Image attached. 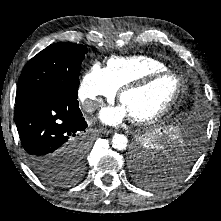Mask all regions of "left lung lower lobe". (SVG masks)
<instances>
[{
    "label": "left lung lower lobe",
    "instance_id": "1",
    "mask_svg": "<svg viewBox=\"0 0 221 221\" xmlns=\"http://www.w3.org/2000/svg\"><path fill=\"white\" fill-rule=\"evenodd\" d=\"M203 128V117H197L188 122L180 120L173 121V123L170 124L158 145V149L153 150L152 153L148 155L154 157L156 160L155 164H157V168L159 169V175L155 176L153 180L156 186H161L177 179L189 169L197 155L198 143ZM139 152H141L140 149H136L132 153L134 165L137 163L138 155L141 154ZM176 161L179 162L177 169H168L171 167V164ZM166 164L170 165L166 166ZM164 168H166V170H163Z\"/></svg>",
    "mask_w": 221,
    "mask_h": 221
}]
</instances>
